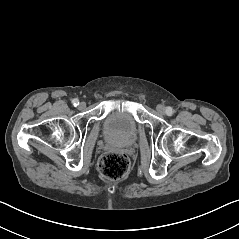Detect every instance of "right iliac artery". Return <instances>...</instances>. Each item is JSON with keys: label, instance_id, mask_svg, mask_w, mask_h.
<instances>
[{"label": "right iliac artery", "instance_id": "1", "mask_svg": "<svg viewBox=\"0 0 239 239\" xmlns=\"http://www.w3.org/2000/svg\"><path fill=\"white\" fill-rule=\"evenodd\" d=\"M72 103H73L74 106H78L79 105V100L75 98V99L72 100Z\"/></svg>", "mask_w": 239, "mask_h": 239}]
</instances>
